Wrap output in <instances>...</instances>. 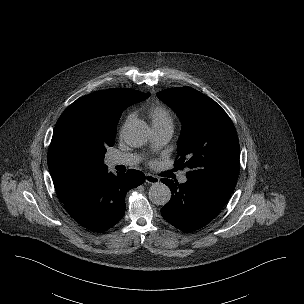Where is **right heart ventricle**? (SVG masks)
<instances>
[{"label":"right heart ventricle","mask_w":304,"mask_h":304,"mask_svg":"<svg viewBox=\"0 0 304 304\" xmlns=\"http://www.w3.org/2000/svg\"><path fill=\"white\" fill-rule=\"evenodd\" d=\"M152 127H173V116L168 108L156 104L148 111Z\"/></svg>","instance_id":"1"}]
</instances>
